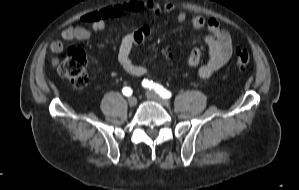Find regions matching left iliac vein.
I'll return each instance as SVG.
<instances>
[{
  "label": "left iliac vein",
  "mask_w": 299,
  "mask_h": 190,
  "mask_svg": "<svg viewBox=\"0 0 299 190\" xmlns=\"http://www.w3.org/2000/svg\"><path fill=\"white\" fill-rule=\"evenodd\" d=\"M146 97L148 99H151V100H154V101L160 103L161 105H163L165 107L170 106V102L168 100L161 98L158 94H156L154 92H147Z\"/></svg>",
  "instance_id": "4c4485c4"
}]
</instances>
